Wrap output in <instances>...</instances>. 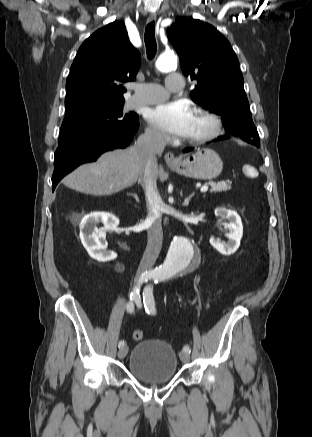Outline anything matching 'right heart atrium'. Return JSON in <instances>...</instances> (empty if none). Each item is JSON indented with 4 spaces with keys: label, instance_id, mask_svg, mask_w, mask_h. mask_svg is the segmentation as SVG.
<instances>
[{
    "label": "right heart atrium",
    "instance_id": "obj_1",
    "mask_svg": "<svg viewBox=\"0 0 312 437\" xmlns=\"http://www.w3.org/2000/svg\"><path fill=\"white\" fill-rule=\"evenodd\" d=\"M146 137L156 143H163L167 140L166 136L156 128L150 126L146 129Z\"/></svg>",
    "mask_w": 312,
    "mask_h": 437
}]
</instances>
